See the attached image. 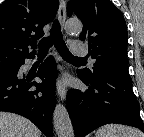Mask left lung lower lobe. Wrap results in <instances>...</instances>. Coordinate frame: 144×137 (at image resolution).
I'll return each instance as SVG.
<instances>
[{
  "instance_id": "1",
  "label": "left lung lower lobe",
  "mask_w": 144,
  "mask_h": 137,
  "mask_svg": "<svg viewBox=\"0 0 144 137\" xmlns=\"http://www.w3.org/2000/svg\"><path fill=\"white\" fill-rule=\"evenodd\" d=\"M77 74L89 88L86 91L71 89L67 93V110L75 137H84L108 123L125 124L144 132L132 80L109 73H99L91 79L79 71Z\"/></svg>"
}]
</instances>
